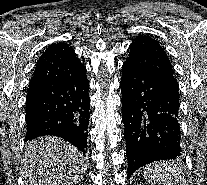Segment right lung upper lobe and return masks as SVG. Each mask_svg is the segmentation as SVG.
Listing matches in <instances>:
<instances>
[{
    "instance_id": "obj_1",
    "label": "right lung upper lobe",
    "mask_w": 207,
    "mask_h": 185,
    "mask_svg": "<svg viewBox=\"0 0 207 185\" xmlns=\"http://www.w3.org/2000/svg\"><path fill=\"white\" fill-rule=\"evenodd\" d=\"M85 71L86 67L77 59L71 46L65 43L50 45L36 64L27 95L76 78Z\"/></svg>"
}]
</instances>
